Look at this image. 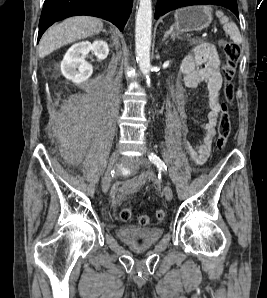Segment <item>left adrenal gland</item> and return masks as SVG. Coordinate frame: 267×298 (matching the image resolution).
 <instances>
[{
    "label": "left adrenal gland",
    "instance_id": "left-adrenal-gland-1",
    "mask_svg": "<svg viewBox=\"0 0 267 298\" xmlns=\"http://www.w3.org/2000/svg\"><path fill=\"white\" fill-rule=\"evenodd\" d=\"M171 37L172 40H174L175 38H179L178 36H176L175 33H172V29L168 30L165 35H164V38L163 40H165L167 37ZM192 44H195V40L194 39H190L189 40Z\"/></svg>",
    "mask_w": 267,
    "mask_h": 298
}]
</instances>
